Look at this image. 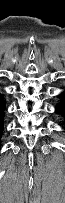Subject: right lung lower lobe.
I'll use <instances>...</instances> for the list:
<instances>
[{"label": "right lung lower lobe", "instance_id": "98d812e1", "mask_svg": "<svg viewBox=\"0 0 65 203\" xmlns=\"http://www.w3.org/2000/svg\"><path fill=\"white\" fill-rule=\"evenodd\" d=\"M5 111L6 105L3 95L0 92V145H1V137L4 131V123H5Z\"/></svg>", "mask_w": 65, "mask_h": 203}]
</instances>
